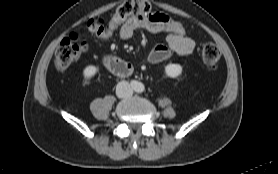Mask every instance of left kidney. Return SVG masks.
I'll use <instances>...</instances> for the list:
<instances>
[{"label": "left kidney", "mask_w": 278, "mask_h": 174, "mask_svg": "<svg viewBox=\"0 0 278 174\" xmlns=\"http://www.w3.org/2000/svg\"><path fill=\"white\" fill-rule=\"evenodd\" d=\"M165 73L168 77L176 78L182 73V66L179 64H168L165 67Z\"/></svg>", "instance_id": "5707ae66"}]
</instances>
